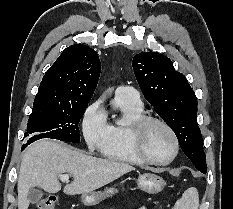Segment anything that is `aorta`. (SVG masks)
Wrapping results in <instances>:
<instances>
[{
  "label": "aorta",
  "instance_id": "aorta-1",
  "mask_svg": "<svg viewBox=\"0 0 233 209\" xmlns=\"http://www.w3.org/2000/svg\"><path fill=\"white\" fill-rule=\"evenodd\" d=\"M117 124H122V121H117Z\"/></svg>",
  "mask_w": 233,
  "mask_h": 209
}]
</instances>
